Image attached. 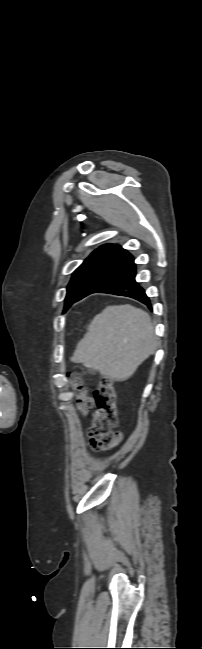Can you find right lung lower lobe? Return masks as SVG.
Wrapping results in <instances>:
<instances>
[{
  "mask_svg": "<svg viewBox=\"0 0 202 649\" xmlns=\"http://www.w3.org/2000/svg\"><path fill=\"white\" fill-rule=\"evenodd\" d=\"M135 276L136 265L133 256L128 252L124 253L113 259L95 275L82 290L78 299L80 300L91 293L104 292L137 299L152 309L145 290L135 281Z\"/></svg>",
  "mask_w": 202,
  "mask_h": 649,
  "instance_id": "obj_1",
  "label": "right lung lower lobe"
}]
</instances>
